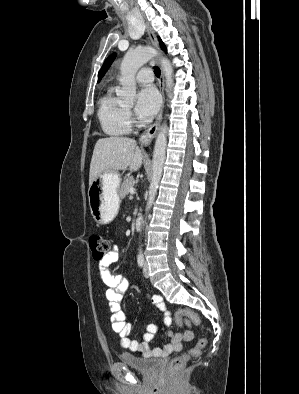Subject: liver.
Returning a JSON list of instances; mask_svg holds the SVG:
<instances>
[{
    "label": "liver",
    "mask_w": 299,
    "mask_h": 394,
    "mask_svg": "<svg viewBox=\"0 0 299 394\" xmlns=\"http://www.w3.org/2000/svg\"><path fill=\"white\" fill-rule=\"evenodd\" d=\"M143 159V152L134 139L118 136L101 138L94 147L89 185L102 173H115L127 168L130 171H137Z\"/></svg>",
    "instance_id": "liver-1"
}]
</instances>
